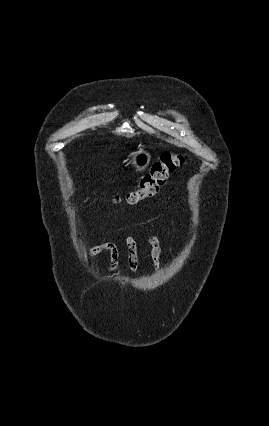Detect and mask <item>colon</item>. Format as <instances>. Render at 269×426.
Listing matches in <instances>:
<instances>
[{"mask_svg": "<svg viewBox=\"0 0 269 426\" xmlns=\"http://www.w3.org/2000/svg\"><path fill=\"white\" fill-rule=\"evenodd\" d=\"M185 161V156L175 152H164L153 162L149 172L142 176L138 186L129 191L125 202L135 205L141 200L155 195L163 187L168 177Z\"/></svg>", "mask_w": 269, "mask_h": 426, "instance_id": "5ec220e1", "label": "colon"}]
</instances>
